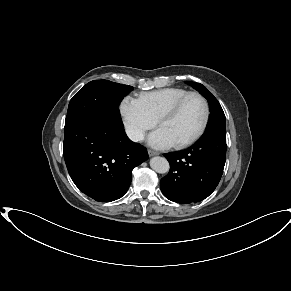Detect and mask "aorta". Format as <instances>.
Returning a JSON list of instances; mask_svg holds the SVG:
<instances>
[{
  "label": "aorta",
  "instance_id": "1",
  "mask_svg": "<svg viewBox=\"0 0 291 291\" xmlns=\"http://www.w3.org/2000/svg\"><path fill=\"white\" fill-rule=\"evenodd\" d=\"M150 167L157 173L164 174L169 171V163L164 157H153L150 160Z\"/></svg>",
  "mask_w": 291,
  "mask_h": 291
}]
</instances>
